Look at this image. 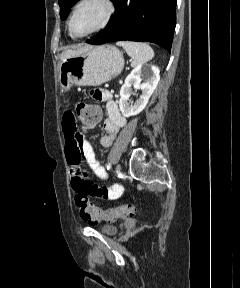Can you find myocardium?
Here are the masks:
<instances>
[{
  "instance_id": "obj_1",
  "label": "myocardium",
  "mask_w": 240,
  "mask_h": 288,
  "mask_svg": "<svg viewBox=\"0 0 240 288\" xmlns=\"http://www.w3.org/2000/svg\"><path fill=\"white\" fill-rule=\"evenodd\" d=\"M91 0H80L74 7L72 13H71V16L69 18V22H68V29H69V32L70 34L75 37V38H85V37H88L90 35H93V34H96L102 30H104L111 22L112 18H113V15H114V12H115V6L112 2V0H99L104 6H105V9H106V12H105V16L103 18V21L101 22V24L96 27L95 29L91 30L90 32L86 33V34H83V35H77L74 33L73 31V28H72V23H73V19L75 17V14L76 12L78 11V9L85 3L89 2Z\"/></svg>"
}]
</instances>
